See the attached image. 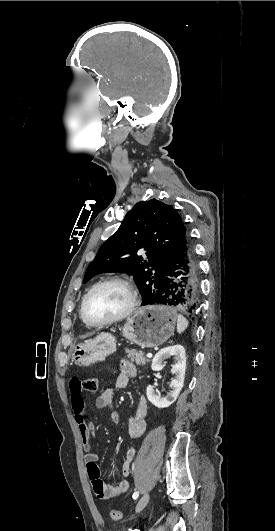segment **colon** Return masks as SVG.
Segmentation results:
<instances>
[{
    "label": "colon",
    "instance_id": "obj_1",
    "mask_svg": "<svg viewBox=\"0 0 275 531\" xmlns=\"http://www.w3.org/2000/svg\"><path fill=\"white\" fill-rule=\"evenodd\" d=\"M83 392L95 393L99 390V383L96 377H87L82 383ZM122 516L120 511H112L111 519L114 523L119 521V518Z\"/></svg>",
    "mask_w": 275,
    "mask_h": 531
}]
</instances>
